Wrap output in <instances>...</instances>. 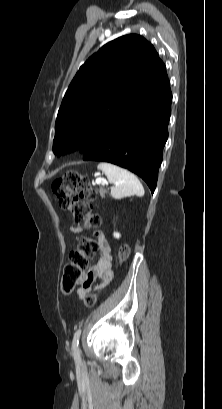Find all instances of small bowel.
I'll list each match as a JSON object with an SVG mask.
<instances>
[{"mask_svg": "<svg viewBox=\"0 0 222 409\" xmlns=\"http://www.w3.org/2000/svg\"><path fill=\"white\" fill-rule=\"evenodd\" d=\"M81 230L82 226L79 224L70 226L71 232L79 233ZM99 247L101 250L100 257L87 272L81 273L77 280L80 287L75 294L80 299H84L90 294L96 280H100V282L94 287V290H100L108 286L114 278L111 246L103 235L99 236Z\"/></svg>", "mask_w": 222, "mask_h": 409, "instance_id": "obj_1", "label": "small bowel"}]
</instances>
